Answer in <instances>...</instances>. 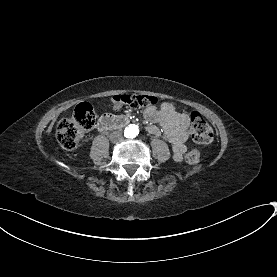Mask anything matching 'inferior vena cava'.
Listing matches in <instances>:
<instances>
[{"mask_svg":"<svg viewBox=\"0 0 277 277\" xmlns=\"http://www.w3.org/2000/svg\"><path fill=\"white\" fill-rule=\"evenodd\" d=\"M122 138V134L119 131H114L110 134V140L111 141H120Z\"/></svg>","mask_w":277,"mask_h":277,"instance_id":"1","label":"inferior vena cava"}]
</instances>
